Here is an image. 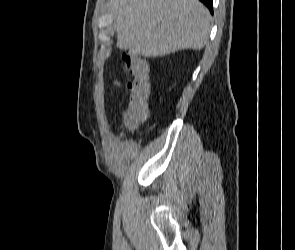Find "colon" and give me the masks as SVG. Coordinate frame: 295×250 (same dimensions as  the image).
I'll use <instances>...</instances> for the list:
<instances>
[{"mask_svg":"<svg viewBox=\"0 0 295 250\" xmlns=\"http://www.w3.org/2000/svg\"><path fill=\"white\" fill-rule=\"evenodd\" d=\"M124 56L129 53H124ZM128 98L126 106L122 112L124 125L130 129L138 128L146 121L149 115V83L146 78L134 77L129 81Z\"/></svg>","mask_w":295,"mask_h":250,"instance_id":"obj_1","label":"colon"}]
</instances>
